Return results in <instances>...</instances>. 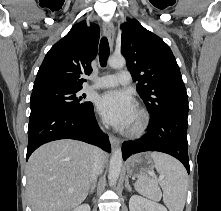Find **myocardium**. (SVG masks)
Segmentation results:
<instances>
[{
    "label": "myocardium",
    "mask_w": 221,
    "mask_h": 211,
    "mask_svg": "<svg viewBox=\"0 0 221 211\" xmlns=\"http://www.w3.org/2000/svg\"><path fill=\"white\" fill-rule=\"evenodd\" d=\"M135 116L136 123L126 129V134L132 137L142 135L149 124V116L145 110L138 108L135 112Z\"/></svg>",
    "instance_id": "1"
}]
</instances>
